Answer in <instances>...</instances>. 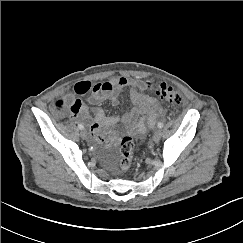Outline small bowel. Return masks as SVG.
<instances>
[{
  "mask_svg": "<svg viewBox=\"0 0 243 243\" xmlns=\"http://www.w3.org/2000/svg\"><path fill=\"white\" fill-rule=\"evenodd\" d=\"M130 88V99L133 107L120 115L106 116L99 104L105 100L112 105H118L122 89ZM148 83L138 78L118 76L97 83L80 81L74 86L77 95L88 94L87 101L94 107H88L75 95L60 96L54 108L57 112L69 109L71 118L75 120H90L89 133L107 147L116 145L119 134L116 130L122 124L125 132L134 137H141L148 128L155 125L156 120L165 114L158 101L146 94Z\"/></svg>",
  "mask_w": 243,
  "mask_h": 243,
  "instance_id": "small-bowel-1",
  "label": "small bowel"
}]
</instances>
